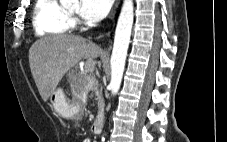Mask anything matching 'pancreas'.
Segmentation results:
<instances>
[{"instance_id": "cf45deb5", "label": "pancreas", "mask_w": 227, "mask_h": 142, "mask_svg": "<svg viewBox=\"0 0 227 142\" xmlns=\"http://www.w3.org/2000/svg\"><path fill=\"white\" fill-rule=\"evenodd\" d=\"M92 80H93V79H92ZM92 87L95 88L96 85L93 84ZM95 95H96V99L98 100V107H100V106H101V104H100V96H99L97 90H95Z\"/></svg>"}]
</instances>
